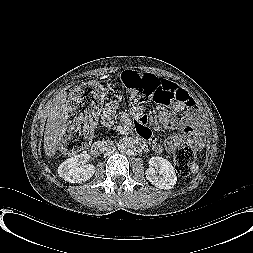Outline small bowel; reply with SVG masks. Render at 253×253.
I'll return each mask as SVG.
<instances>
[{
	"label": "small bowel",
	"instance_id": "c3829d8e",
	"mask_svg": "<svg viewBox=\"0 0 253 253\" xmlns=\"http://www.w3.org/2000/svg\"><path fill=\"white\" fill-rule=\"evenodd\" d=\"M176 86V85H175ZM178 92H176L172 97L171 111L175 113L187 112L189 111V122L188 123H180L177 119L172 115V113L168 110H161L157 115L146 114L140 107H134L132 109V114L134 117L135 127L138 135L151 142L152 148L161 152L164 149H170L174 140L170 139L167 141H160L156 139L149 126L156 125L159 123L164 128L173 130V129H181L184 133H186L189 137L194 136L193 123L199 119V112L193 109V97L192 95L185 91L184 89L176 86ZM119 110V104L115 101L109 102L101 115L102 125L106 128L112 126L114 122V116Z\"/></svg>",
	"mask_w": 253,
	"mask_h": 253
}]
</instances>
